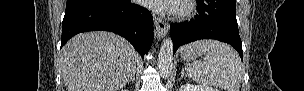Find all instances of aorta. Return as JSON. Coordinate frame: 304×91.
Returning <instances> with one entry per match:
<instances>
[{"label":"aorta","instance_id":"762f6f07","mask_svg":"<svg viewBox=\"0 0 304 91\" xmlns=\"http://www.w3.org/2000/svg\"><path fill=\"white\" fill-rule=\"evenodd\" d=\"M173 49L171 38L164 39L158 54V70L162 77H168L172 71Z\"/></svg>","mask_w":304,"mask_h":91}]
</instances>
